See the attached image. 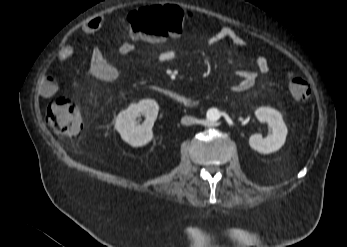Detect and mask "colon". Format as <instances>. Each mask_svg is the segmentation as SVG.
Wrapping results in <instances>:
<instances>
[{
	"label": "colon",
	"instance_id": "colon-1",
	"mask_svg": "<svg viewBox=\"0 0 347 247\" xmlns=\"http://www.w3.org/2000/svg\"><path fill=\"white\" fill-rule=\"evenodd\" d=\"M187 19V12L176 5L148 6L127 16L128 25L133 33L156 42L182 33ZM287 82L289 92L296 102L308 101L311 88L306 79L292 73L287 77ZM44 119L50 129L65 137H76L82 131L78 104L65 95L51 98Z\"/></svg>",
	"mask_w": 347,
	"mask_h": 247
}]
</instances>
